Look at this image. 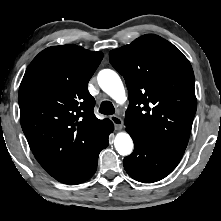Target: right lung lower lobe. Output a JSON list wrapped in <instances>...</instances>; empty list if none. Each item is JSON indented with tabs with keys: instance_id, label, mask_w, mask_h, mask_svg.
Listing matches in <instances>:
<instances>
[{
	"instance_id": "98d812e1",
	"label": "right lung lower lobe",
	"mask_w": 221,
	"mask_h": 221,
	"mask_svg": "<svg viewBox=\"0 0 221 221\" xmlns=\"http://www.w3.org/2000/svg\"><path fill=\"white\" fill-rule=\"evenodd\" d=\"M112 131L113 124L109 122L102 136L88 149L83 157L64 172L54 176V178L68 185L82 183L91 178L96 171L100 151L109 145L108 137Z\"/></svg>"
}]
</instances>
